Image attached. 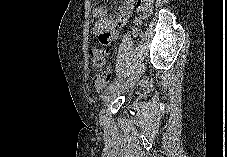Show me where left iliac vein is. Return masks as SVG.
I'll return each instance as SVG.
<instances>
[{"mask_svg":"<svg viewBox=\"0 0 227 157\" xmlns=\"http://www.w3.org/2000/svg\"><path fill=\"white\" fill-rule=\"evenodd\" d=\"M143 71V65H140L137 70L133 73V75L125 82L119 83L114 88L108 90L104 97H103V108L100 111V119H103L105 108L109 105L112 99H114L116 96H118L120 93L125 92L129 90L133 85L136 83V81L140 78V75Z\"/></svg>","mask_w":227,"mask_h":157,"instance_id":"left-iliac-vein-1","label":"left iliac vein"}]
</instances>
